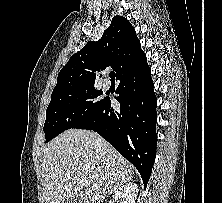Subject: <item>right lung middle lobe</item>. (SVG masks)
I'll return each mask as SVG.
<instances>
[{"instance_id":"1","label":"right lung middle lobe","mask_w":222,"mask_h":203,"mask_svg":"<svg viewBox=\"0 0 222 203\" xmlns=\"http://www.w3.org/2000/svg\"><path fill=\"white\" fill-rule=\"evenodd\" d=\"M101 94L94 85L52 92L44 124L46 142L72 128L96 110L105 100H97Z\"/></svg>"}]
</instances>
